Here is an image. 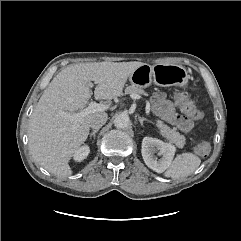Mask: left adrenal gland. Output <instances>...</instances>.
Here are the masks:
<instances>
[{
	"mask_svg": "<svg viewBox=\"0 0 241 241\" xmlns=\"http://www.w3.org/2000/svg\"><path fill=\"white\" fill-rule=\"evenodd\" d=\"M138 120H139L141 126H143L144 121L152 123L150 120H148L146 118H143V117H140V116H138Z\"/></svg>",
	"mask_w": 241,
	"mask_h": 241,
	"instance_id": "a2214340",
	"label": "left adrenal gland"
}]
</instances>
